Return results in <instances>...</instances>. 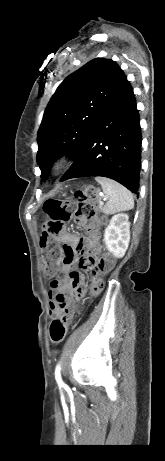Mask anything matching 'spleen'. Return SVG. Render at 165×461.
Listing matches in <instances>:
<instances>
[{
    "instance_id": "obj_1",
    "label": "spleen",
    "mask_w": 165,
    "mask_h": 461,
    "mask_svg": "<svg viewBox=\"0 0 165 461\" xmlns=\"http://www.w3.org/2000/svg\"><path fill=\"white\" fill-rule=\"evenodd\" d=\"M95 180L101 185L103 192L109 198V201L103 207L106 214H114L134 208L133 195L127 188L108 178L96 177Z\"/></svg>"
}]
</instances>
